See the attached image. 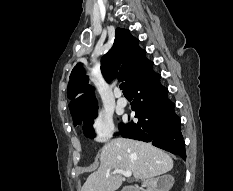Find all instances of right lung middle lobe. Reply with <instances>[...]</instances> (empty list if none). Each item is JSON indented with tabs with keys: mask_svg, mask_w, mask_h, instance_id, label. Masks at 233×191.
Segmentation results:
<instances>
[{
	"mask_svg": "<svg viewBox=\"0 0 233 191\" xmlns=\"http://www.w3.org/2000/svg\"><path fill=\"white\" fill-rule=\"evenodd\" d=\"M96 116H97V108L87 110V111L81 112V113L73 116V123L75 126L83 123L84 124V126H83L84 134L87 137L93 138L94 131H93L92 124H93V119Z\"/></svg>",
	"mask_w": 233,
	"mask_h": 191,
	"instance_id": "dd1d6c3e",
	"label": "right lung middle lobe"
}]
</instances>
